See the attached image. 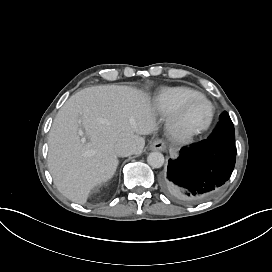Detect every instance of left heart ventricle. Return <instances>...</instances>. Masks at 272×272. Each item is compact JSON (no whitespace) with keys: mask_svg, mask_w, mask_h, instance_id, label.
Returning <instances> with one entry per match:
<instances>
[{"mask_svg":"<svg viewBox=\"0 0 272 272\" xmlns=\"http://www.w3.org/2000/svg\"><path fill=\"white\" fill-rule=\"evenodd\" d=\"M210 115L209 104L205 100L197 98L185 107L182 112L181 122L185 128L201 127L209 121Z\"/></svg>","mask_w":272,"mask_h":272,"instance_id":"obj_1","label":"left heart ventricle"}]
</instances>
